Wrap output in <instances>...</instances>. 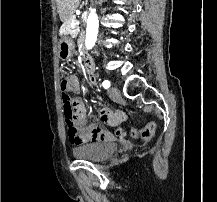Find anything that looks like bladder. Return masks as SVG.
<instances>
[{"label": "bladder", "instance_id": "obj_1", "mask_svg": "<svg viewBox=\"0 0 217 202\" xmlns=\"http://www.w3.org/2000/svg\"><path fill=\"white\" fill-rule=\"evenodd\" d=\"M117 144L111 141L85 144L82 148L74 149L73 155L91 162H103L108 156L114 154Z\"/></svg>", "mask_w": 217, "mask_h": 202}]
</instances>
